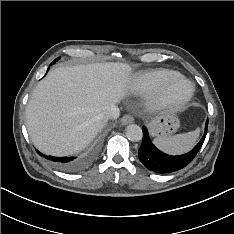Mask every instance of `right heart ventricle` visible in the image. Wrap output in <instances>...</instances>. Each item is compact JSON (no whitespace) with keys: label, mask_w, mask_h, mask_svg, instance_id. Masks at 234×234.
<instances>
[{"label":"right heart ventricle","mask_w":234,"mask_h":234,"mask_svg":"<svg viewBox=\"0 0 234 234\" xmlns=\"http://www.w3.org/2000/svg\"><path fill=\"white\" fill-rule=\"evenodd\" d=\"M177 76L179 74L170 69L147 70L135 74L131 80L130 87L135 94H148Z\"/></svg>","instance_id":"1"}]
</instances>
